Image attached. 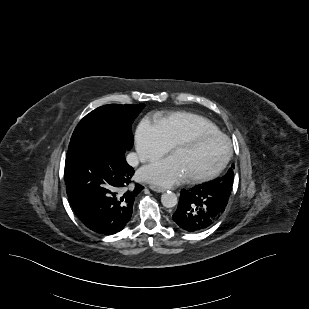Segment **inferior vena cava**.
<instances>
[{"mask_svg":"<svg viewBox=\"0 0 309 309\" xmlns=\"http://www.w3.org/2000/svg\"><path fill=\"white\" fill-rule=\"evenodd\" d=\"M126 160L131 166H137L139 163V157L136 153L128 154Z\"/></svg>","mask_w":309,"mask_h":309,"instance_id":"1","label":"inferior vena cava"}]
</instances>
